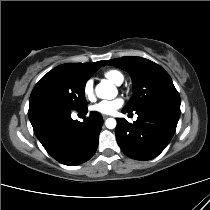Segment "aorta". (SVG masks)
Returning a JSON list of instances; mask_svg holds the SVG:
<instances>
[{
  "label": "aorta",
  "instance_id": "1",
  "mask_svg": "<svg viewBox=\"0 0 210 210\" xmlns=\"http://www.w3.org/2000/svg\"><path fill=\"white\" fill-rule=\"evenodd\" d=\"M96 94L102 99H113L117 95V90L109 81H103L96 86ZM116 124L114 118H108L105 121V125L108 129H114Z\"/></svg>",
  "mask_w": 210,
  "mask_h": 210
}]
</instances>
